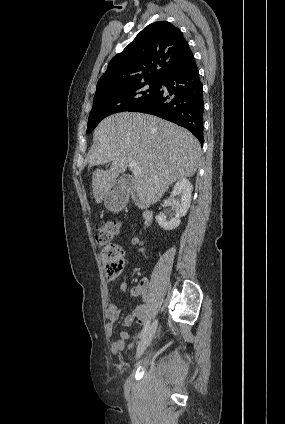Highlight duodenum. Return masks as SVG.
Returning a JSON list of instances; mask_svg holds the SVG:
<instances>
[{
  "label": "duodenum",
  "instance_id": "1",
  "mask_svg": "<svg viewBox=\"0 0 285 424\" xmlns=\"http://www.w3.org/2000/svg\"><path fill=\"white\" fill-rule=\"evenodd\" d=\"M134 187H135V180L133 178L125 176L121 179V188L127 195L133 191ZM139 204L141 205V202H139ZM141 207L143 209L142 211L143 227L146 228L152 222L153 213L150 210L143 207L142 205Z\"/></svg>",
  "mask_w": 285,
  "mask_h": 424
}]
</instances>
